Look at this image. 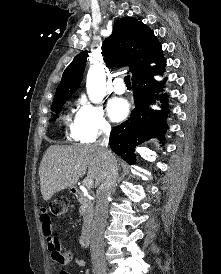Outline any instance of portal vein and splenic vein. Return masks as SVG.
I'll list each match as a JSON object with an SVG mask.
<instances>
[{
  "label": "portal vein and splenic vein",
  "instance_id": "1",
  "mask_svg": "<svg viewBox=\"0 0 221 274\" xmlns=\"http://www.w3.org/2000/svg\"><path fill=\"white\" fill-rule=\"evenodd\" d=\"M93 184H94V181H93V179L92 178H85L84 180H83V185L86 187V188H91L92 186H93Z\"/></svg>",
  "mask_w": 221,
  "mask_h": 274
}]
</instances>
